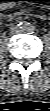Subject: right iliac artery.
Listing matches in <instances>:
<instances>
[{
    "label": "right iliac artery",
    "instance_id": "right-iliac-artery-1",
    "mask_svg": "<svg viewBox=\"0 0 50 111\" xmlns=\"http://www.w3.org/2000/svg\"><path fill=\"white\" fill-rule=\"evenodd\" d=\"M27 23L26 22H20L19 24H18V26L20 27V28H22V29H26L27 28Z\"/></svg>",
    "mask_w": 50,
    "mask_h": 111
}]
</instances>
